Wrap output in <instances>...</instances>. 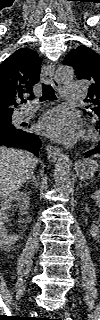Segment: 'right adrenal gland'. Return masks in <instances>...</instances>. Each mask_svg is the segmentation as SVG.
<instances>
[{"label":"right adrenal gland","instance_id":"obj_1","mask_svg":"<svg viewBox=\"0 0 100 320\" xmlns=\"http://www.w3.org/2000/svg\"><path fill=\"white\" fill-rule=\"evenodd\" d=\"M30 182H33L35 184L36 188H38L39 182H38V179L36 178L35 175H33L32 178L27 181V183H30Z\"/></svg>","mask_w":100,"mask_h":320}]
</instances>
